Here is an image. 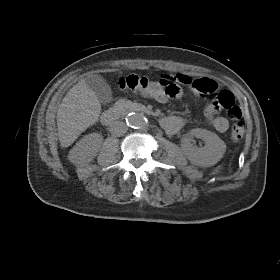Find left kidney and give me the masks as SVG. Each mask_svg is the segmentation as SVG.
<instances>
[{"mask_svg": "<svg viewBox=\"0 0 280 280\" xmlns=\"http://www.w3.org/2000/svg\"><path fill=\"white\" fill-rule=\"evenodd\" d=\"M192 136L205 141L203 148H197L191 143ZM225 143L214 133L205 129H192L188 136L182 140V150L187 158L197 165L212 163L217 161L225 150Z\"/></svg>", "mask_w": 280, "mask_h": 280, "instance_id": "5707ae66", "label": "left kidney"}]
</instances>
